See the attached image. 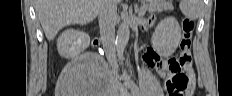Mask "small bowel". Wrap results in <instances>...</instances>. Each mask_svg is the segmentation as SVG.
I'll return each mask as SVG.
<instances>
[{
    "instance_id": "small-bowel-1",
    "label": "small bowel",
    "mask_w": 232,
    "mask_h": 96,
    "mask_svg": "<svg viewBox=\"0 0 232 96\" xmlns=\"http://www.w3.org/2000/svg\"><path fill=\"white\" fill-rule=\"evenodd\" d=\"M147 20H157V11H148ZM146 27H155V22H146ZM140 43L144 42L145 40L140 38L138 40ZM143 64L149 70L156 69L157 72L164 77L163 68H168V63H164L160 61L159 56L156 52H147L143 57ZM186 72L189 75L191 82L190 87L194 89L195 87V77L192 66L189 65L186 67Z\"/></svg>"
}]
</instances>
